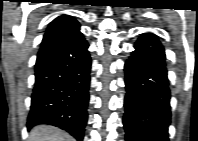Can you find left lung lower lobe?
Wrapping results in <instances>:
<instances>
[{"label": "left lung lower lobe", "mask_w": 198, "mask_h": 141, "mask_svg": "<svg viewBox=\"0 0 198 141\" xmlns=\"http://www.w3.org/2000/svg\"><path fill=\"white\" fill-rule=\"evenodd\" d=\"M134 49L124 67L126 141H168L171 107L164 48L155 35L143 34ZM142 99L149 101V111L142 109Z\"/></svg>", "instance_id": "0a47b994"}]
</instances>
